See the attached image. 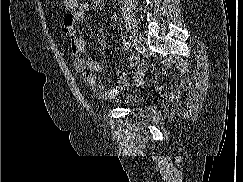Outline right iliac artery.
Wrapping results in <instances>:
<instances>
[{"mask_svg": "<svg viewBox=\"0 0 243 182\" xmlns=\"http://www.w3.org/2000/svg\"><path fill=\"white\" fill-rule=\"evenodd\" d=\"M130 48V43L129 42H125L124 43V49L128 50Z\"/></svg>", "mask_w": 243, "mask_h": 182, "instance_id": "1", "label": "right iliac artery"}]
</instances>
